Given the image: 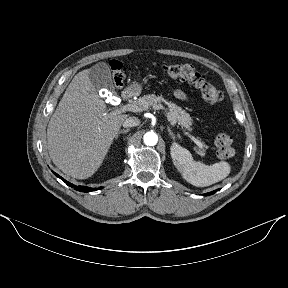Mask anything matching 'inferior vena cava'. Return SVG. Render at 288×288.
I'll list each match as a JSON object with an SVG mask.
<instances>
[{"label": "inferior vena cava", "instance_id": "1", "mask_svg": "<svg viewBox=\"0 0 288 288\" xmlns=\"http://www.w3.org/2000/svg\"><path fill=\"white\" fill-rule=\"evenodd\" d=\"M140 124V120L137 117H128L126 120L123 122V127L128 128V127H135Z\"/></svg>", "mask_w": 288, "mask_h": 288}]
</instances>
